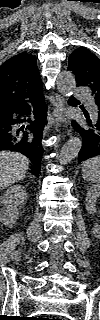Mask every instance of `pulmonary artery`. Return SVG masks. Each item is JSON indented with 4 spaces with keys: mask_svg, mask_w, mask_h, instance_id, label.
I'll return each mask as SVG.
<instances>
[{
    "mask_svg": "<svg viewBox=\"0 0 100 320\" xmlns=\"http://www.w3.org/2000/svg\"><path fill=\"white\" fill-rule=\"evenodd\" d=\"M76 97L78 99H83L85 101H87V105H88V108L89 110L92 112V113H95L96 111V108H95V105L92 101V97L91 95L84 89H77L76 90Z\"/></svg>",
    "mask_w": 100,
    "mask_h": 320,
    "instance_id": "e3ab8cb5",
    "label": "pulmonary artery"
}]
</instances>
